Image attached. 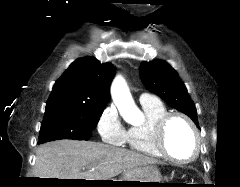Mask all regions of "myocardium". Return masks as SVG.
Returning <instances> with one entry per match:
<instances>
[{
	"instance_id": "myocardium-1",
	"label": "myocardium",
	"mask_w": 240,
	"mask_h": 187,
	"mask_svg": "<svg viewBox=\"0 0 240 187\" xmlns=\"http://www.w3.org/2000/svg\"><path fill=\"white\" fill-rule=\"evenodd\" d=\"M175 118L182 119L189 126L194 137V153L190 158L185 160H180L174 157L166 147L167 128L169 123ZM154 143L157 150L164 158L173 163L181 165L189 164L195 161L201 152V137L197 126L187 115L180 112H168L158 120L154 130Z\"/></svg>"
}]
</instances>
